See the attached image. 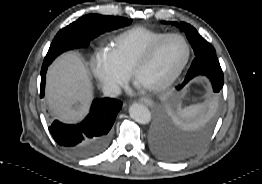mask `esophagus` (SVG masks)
<instances>
[{
    "label": "esophagus",
    "mask_w": 262,
    "mask_h": 184,
    "mask_svg": "<svg viewBox=\"0 0 262 184\" xmlns=\"http://www.w3.org/2000/svg\"><path fill=\"white\" fill-rule=\"evenodd\" d=\"M139 102L147 105V106H151L153 104V100L151 98L148 97H142L139 99Z\"/></svg>",
    "instance_id": "34e87169"
}]
</instances>
